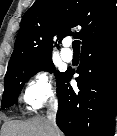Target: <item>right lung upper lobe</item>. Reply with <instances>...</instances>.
I'll use <instances>...</instances> for the list:
<instances>
[{"instance_id": "right-lung-upper-lobe-1", "label": "right lung upper lobe", "mask_w": 117, "mask_h": 136, "mask_svg": "<svg viewBox=\"0 0 117 136\" xmlns=\"http://www.w3.org/2000/svg\"><path fill=\"white\" fill-rule=\"evenodd\" d=\"M117 0H35L24 14L9 65L30 58L52 57V38L75 33L82 44L117 25Z\"/></svg>"}]
</instances>
